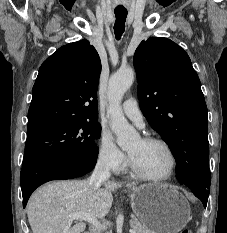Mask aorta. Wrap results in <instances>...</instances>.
<instances>
[{
	"instance_id": "1",
	"label": "aorta",
	"mask_w": 227,
	"mask_h": 233,
	"mask_svg": "<svg viewBox=\"0 0 227 233\" xmlns=\"http://www.w3.org/2000/svg\"><path fill=\"white\" fill-rule=\"evenodd\" d=\"M133 81L134 71L127 68L114 73L110 77L108 85V113L111 116V129L117 137V144L123 149L127 148L138 137V133L127 122L121 108L122 98Z\"/></svg>"
}]
</instances>
